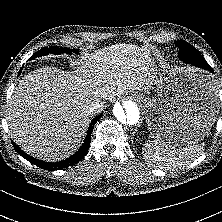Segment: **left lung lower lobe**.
<instances>
[{"mask_svg": "<svg viewBox=\"0 0 222 222\" xmlns=\"http://www.w3.org/2000/svg\"><path fill=\"white\" fill-rule=\"evenodd\" d=\"M183 62H186V63L191 64V65H193V66L202 68L200 63L195 62V61H193V60H191V59H185V61H183ZM202 69H203V68H202ZM205 70H208V71H210V72L213 73V69H212V68H206Z\"/></svg>", "mask_w": 222, "mask_h": 222, "instance_id": "left-lung-lower-lobe-1", "label": "left lung lower lobe"}]
</instances>
